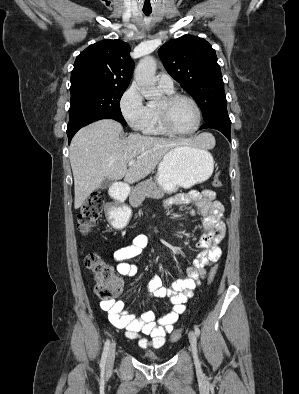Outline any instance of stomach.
I'll return each mask as SVG.
<instances>
[{"label":"stomach","mask_w":299,"mask_h":394,"mask_svg":"<svg viewBox=\"0 0 299 394\" xmlns=\"http://www.w3.org/2000/svg\"><path fill=\"white\" fill-rule=\"evenodd\" d=\"M213 169V157L208 151L180 145L171 149L160 161L156 182L169 192L176 191L178 187L190 188L206 181Z\"/></svg>","instance_id":"obj_1"}]
</instances>
